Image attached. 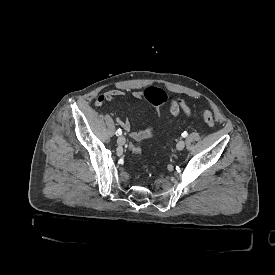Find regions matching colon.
<instances>
[{"label":"colon","mask_w":275,"mask_h":275,"mask_svg":"<svg viewBox=\"0 0 275 275\" xmlns=\"http://www.w3.org/2000/svg\"><path fill=\"white\" fill-rule=\"evenodd\" d=\"M145 97L148 101L159 105L161 104L163 101L166 100L167 95L165 92L158 90L156 87L151 86L149 88L146 89L145 91ZM200 115L203 118V120L205 121V123L210 127V128H214L215 127V118L212 115V113L206 109H202L200 110ZM130 151L133 155L138 156L140 154V147L138 142H133L130 145Z\"/></svg>","instance_id":"5ec220e1"}]
</instances>
